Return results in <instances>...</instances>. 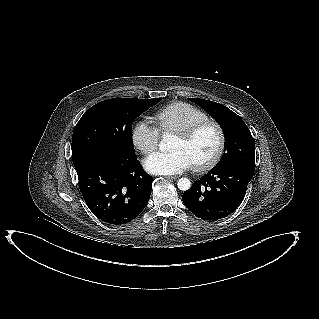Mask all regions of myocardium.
<instances>
[{
    "label": "myocardium",
    "instance_id": "f54148a6",
    "mask_svg": "<svg viewBox=\"0 0 319 319\" xmlns=\"http://www.w3.org/2000/svg\"><path fill=\"white\" fill-rule=\"evenodd\" d=\"M206 127H212L215 130L217 134V146L214 153L208 160L201 163L192 164V168L197 172H205V171L211 170L221 160L225 150V145H226V135H225V131L223 127L215 120L205 119V120L198 121L188 126L185 129L174 132L175 135L180 137L181 139L190 140L200 130Z\"/></svg>",
    "mask_w": 319,
    "mask_h": 319
}]
</instances>
